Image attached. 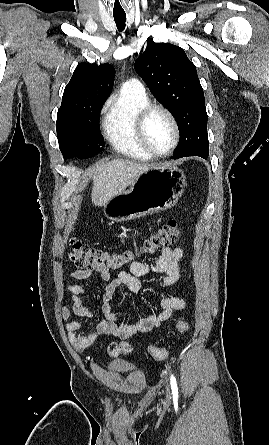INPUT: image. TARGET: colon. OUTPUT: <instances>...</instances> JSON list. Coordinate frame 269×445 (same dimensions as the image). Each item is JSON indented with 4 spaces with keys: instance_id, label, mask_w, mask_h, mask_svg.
<instances>
[{
    "instance_id": "colon-1",
    "label": "colon",
    "mask_w": 269,
    "mask_h": 445,
    "mask_svg": "<svg viewBox=\"0 0 269 445\" xmlns=\"http://www.w3.org/2000/svg\"><path fill=\"white\" fill-rule=\"evenodd\" d=\"M180 234L178 222L170 220L159 229L149 235L143 242L141 251L146 254H153L174 244ZM69 259L76 267L91 271H117L127 267L133 262L134 254L131 252L114 253L100 250L82 243L77 239H71L69 245ZM189 330V323L181 318L176 323V331L183 335ZM108 352L112 357L122 354H130L131 347L127 343L112 342L108 347ZM149 354L156 360H163L168 356L165 348L150 346Z\"/></svg>"
}]
</instances>
